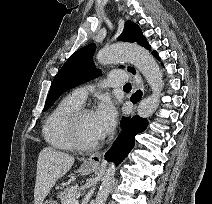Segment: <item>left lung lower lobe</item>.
<instances>
[{"instance_id": "0a47b994", "label": "left lung lower lobe", "mask_w": 212, "mask_h": 204, "mask_svg": "<svg viewBox=\"0 0 212 204\" xmlns=\"http://www.w3.org/2000/svg\"><path fill=\"white\" fill-rule=\"evenodd\" d=\"M153 55L156 58H159L156 52ZM141 95V92L137 91L131 97V101L133 103H136L140 100ZM147 125V120L139 116H134L131 119L122 118V132L116 139L110 150L105 154V157L108 160L112 159L116 164L124 160L134 146L135 135L143 132L146 129Z\"/></svg>"}]
</instances>
